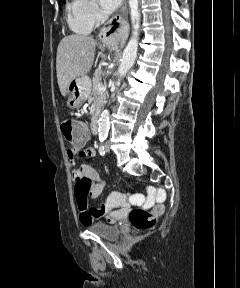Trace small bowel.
Listing matches in <instances>:
<instances>
[{"instance_id": "obj_1", "label": "small bowel", "mask_w": 240, "mask_h": 288, "mask_svg": "<svg viewBox=\"0 0 240 288\" xmlns=\"http://www.w3.org/2000/svg\"><path fill=\"white\" fill-rule=\"evenodd\" d=\"M89 134L86 128V138L83 141L72 143L67 156L70 164L76 163L77 157H94L96 150L86 147ZM75 181L74 194L79 210V219L83 225H90L100 217H106L110 223H115L127 215L129 199L120 192H112L106 202L100 207H89L88 199L98 197L105 187V182L99 173L88 164H82L72 172Z\"/></svg>"}]
</instances>
